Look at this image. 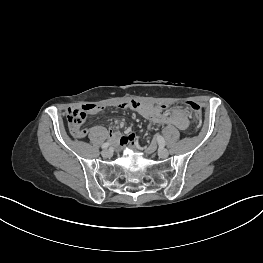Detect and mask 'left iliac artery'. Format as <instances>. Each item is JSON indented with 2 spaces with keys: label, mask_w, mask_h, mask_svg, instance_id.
I'll return each instance as SVG.
<instances>
[{
  "label": "left iliac artery",
  "mask_w": 263,
  "mask_h": 263,
  "mask_svg": "<svg viewBox=\"0 0 263 263\" xmlns=\"http://www.w3.org/2000/svg\"><path fill=\"white\" fill-rule=\"evenodd\" d=\"M157 141H158V144H159L160 147H164L165 144H166L165 140H164V138L162 136H158L157 137Z\"/></svg>",
  "instance_id": "44dca946"
}]
</instances>
